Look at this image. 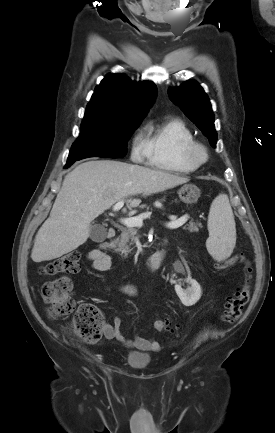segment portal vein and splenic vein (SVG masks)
<instances>
[{
  "label": "portal vein and splenic vein",
  "instance_id": "1",
  "mask_svg": "<svg viewBox=\"0 0 275 433\" xmlns=\"http://www.w3.org/2000/svg\"><path fill=\"white\" fill-rule=\"evenodd\" d=\"M123 206H124V201L121 200L113 206V211H118ZM149 216H150V213L148 212V213H144V214H141L139 216H136V217L123 218V219H121V223L128 226V227H140L143 225V220L148 218ZM187 220H188V215H184L178 219H171V221L166 224V227L170 228V229H176V228H179L182 225H184Z\"/></svg>",
  "mask_w": 275,
  "mask_h": 433
}]
</instances>
